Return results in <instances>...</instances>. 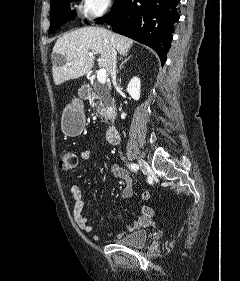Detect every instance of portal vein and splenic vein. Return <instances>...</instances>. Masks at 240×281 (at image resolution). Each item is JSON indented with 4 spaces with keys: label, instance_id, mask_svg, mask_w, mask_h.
<instances>
[{
    "label": "portal vein and splenic vein",
    "instance_id": "portal-vein-and-splenic-vein-1",
    "mask_svg": "<svg viewBox=\"0 0 240 281\" xmlns=\"http://www.w3.org/2000/svg\"><path fill=\"white\" fill-rule=\"evenodd\" d=\"M93 53H89V56H92ZM106 77H107V71L106 69H100L97 73V81L100 84H104L106 81Z\"/></svg>",
    "mask_w": 240,
    "mask_h": 281
}]
</instances>
